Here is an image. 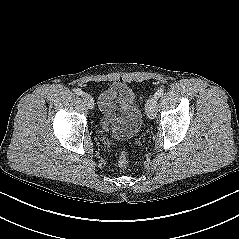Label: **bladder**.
Returning <instances> with one entry per match:
<instances>
[{"label":"bladder","mask_w":239,"mask_h":239,"mask_svg":"<svg viewBox=\"0 0 239 239\" xmlns=\"http://www.w3.org/2000/svg\"><path fill=\"white\" fill-rule=\"evenodd\" d=\"M114 103L120 111L116 132L127 136H135L141 127L142 112L134 90L126 83L115 84Z\"/></svg>","instance_id":"1"}]
</instances>
